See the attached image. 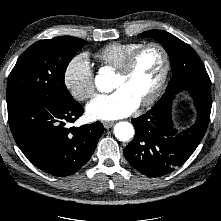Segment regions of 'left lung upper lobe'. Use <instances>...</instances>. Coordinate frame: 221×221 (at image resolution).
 <instances>
[{
  "instance_id": "obj_1",
  "label": "left lung upper lobe",
  "mask_w": 221,
  "mask_h": 221,
  "mask_svg": "<svg viewBox=\"0 0 221 221\" xmlns=\"http://www.w3.org/2000/svg\"><path fill=\"white\" fill-rule=\"evenodd\" d=\"M159 41L170 57L172 78L166 88L169 91L189 83L211 86L205 66L188 44L163 30H149L138 35Z\"/></svg>"
}]
</instances>
